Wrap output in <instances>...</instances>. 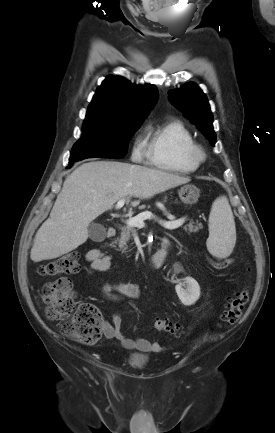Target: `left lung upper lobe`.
<instances>
[{"label": "left lung upper lobe", "instance_id": "1", "mask_svg": "<svg viewBox=\"0 0 275 433\" xmlns=\"http://www.w3.org/2000/svg\"><path fill=\"white\" fill-rule=\"evenodd\" d=\"M169 100L202 132L214 146L216 135L213 130V115L207 97L195 84H185L169 93Z\"/></svg>", "mask_w": 275, "mask_h": 433}]
</instances>
